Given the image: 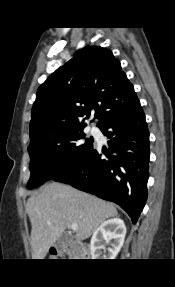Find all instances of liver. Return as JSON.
I'll return each instance as SVG.
<instances>
[{"label": "liver", "mask_w": 175, "mask_h": 287, "mask_svg": "<svg viewBox=\"0 0 175 287\" xmlns=\"http://www.w3.org/2000/svg\"><path fill=\"white\" fill-rule=\"evenodd\" d=\"M31 222L33 259H44L64 230L76 223L75 239L82 241L108 218L117 216L115 206L75 188L51 182L33 194L26 204Z\"/></svg>", "instance_id": "liver-1"}]
</instances>
